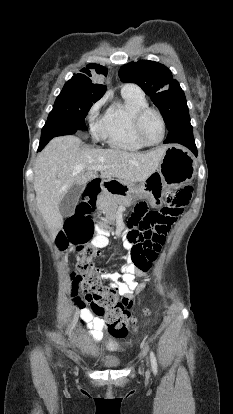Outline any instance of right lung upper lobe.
I'll list each match as a JSON object with an SVG mask.
<instances>
[{
    "mask_svg": "<svg viewBox=\"0 0 233 414\" xmlns=\"http://www.w3.org/2000/svg\"><path fill=\"white\" fill-rule=\"evenodd\" d=\"M90 69H95L97 74L107 75V69L105 67L97 64H89L81 70L83 74H75L65 84V87L94 94L100 99L106 91V86L92 82L90 79L92 77Z\"/></svg>",
    "mask_w": 233,
    "mask_h": 414,
    "instance_id": "cb5924a9",
    "label": "right lung upper lobe"
}]
</instances>
